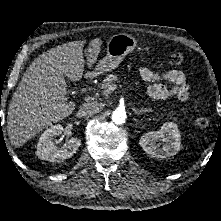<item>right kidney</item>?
Listing matches in <instances>:
<instances>
[{
  "label": "right kidney",
  "mask_w": 221,
  "mask_h": 221,
  "mask_svg": "<svg viewBox=\"0 0 221 221\" xmlns=\"http://www.w3.org/2000/svg\"><path fill=\"white\" fill-rule=\"evenodd\" d=\"M63 127L59 124L53 125L46 129L41 135L37 144L36 155L49 162H63L73 156L81 145V140L77 137H72L67 142L58 148L55 144V138L61 135Z\"/></svg>",
  "instance_id": "1"
}]
</instances>
